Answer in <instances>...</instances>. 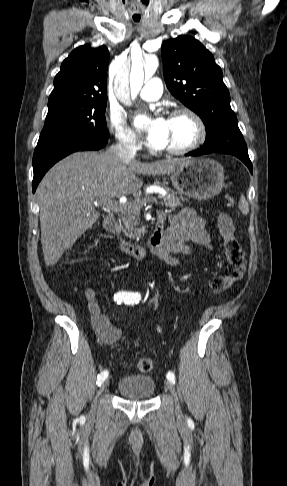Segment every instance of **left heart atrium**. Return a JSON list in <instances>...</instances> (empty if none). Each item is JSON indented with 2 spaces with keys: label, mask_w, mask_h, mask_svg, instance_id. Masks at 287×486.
<instances>
[{
  "label": "left heart atrium",
  "mask_w": 287,
  "mask_h": 486,
  "mask_svg": "<svg viewBox=\"0 0 287 486\" xmlns=\"http://www.w3.org/2000/svg\"><path fill=\"white\" fill-rule=\"evenodd\" d=\"M135 127L145 135L147 144L155 149H162L165 143L167 120L161 117L151 118L138 115L134 120Z\"/></svg>",
  "instance_id": "left-heart-atrium-1"
}]
</instances>
